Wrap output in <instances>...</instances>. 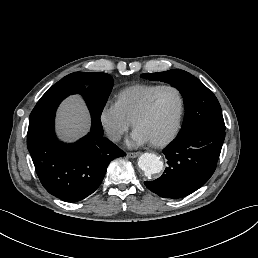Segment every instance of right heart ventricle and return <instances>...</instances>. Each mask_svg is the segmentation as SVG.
<instances>
[{
	"label": "right heart ventricle",
	"mask_w": 258,
	"mask_h": 258,
	"mask_svg": "<svg viewBox=\"0 0 258 258\" xmlns=\"http://www.w3.org/2000/svg\"><path fill=\"white\" fill-rule=\"evenodd\" d=\"M159 85L136 84L122 89L116 96L115 105L130 122L134 123L142 111L147 98Z\"/></svg>",
	"instance_id": "1"
}]
</instances>
